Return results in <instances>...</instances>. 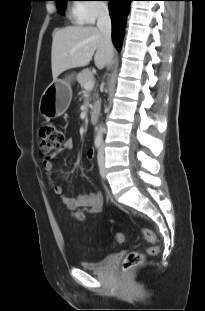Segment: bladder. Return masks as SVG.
Returning <instances> with one entry per match:
<instances>
[{"label": "bladder", "instance_id": "1", "mask_svg": "<svg viewBox=\"0 0 205 311\" xmlns=\"http://www.w3.org/2000/svg\"><path fill=\"white\" fill-rule=\"evenodd\" d=\"M114 256L110 255L101 260L91 261V262H81L80 267L89 271H103L108 266V264L113 260Z\"/></svg>", "mask_w": 205, "mask_h": 311}]
</instances>
